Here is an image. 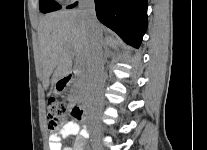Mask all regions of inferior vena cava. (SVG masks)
I'll return each mask as SVG.
<instances>
[{
  "label": "inferior vena cava",
  "instance_id": "1",
  "mask_svg": "<svg viewBox=\"0 0 207 150\" xmlns=\"http://www.w3.org/2000/svg\"><path fill=\"white\" fill-rule=\"evenodd\" d=\"M79 8L93 33L87 62L91 94L93 100L102 106L106 74L102 51L103 40L98 28L94 0H79Z\"/></svg>",
  "mask_w": 207,
  "mask_h": 150
}]
</instances>
